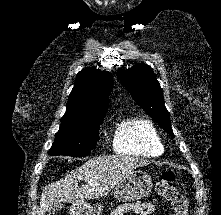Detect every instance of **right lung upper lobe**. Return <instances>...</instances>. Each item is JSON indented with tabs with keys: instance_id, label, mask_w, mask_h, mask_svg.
Wrapping results in <instances>:
<instances>
[{
	"instance_id": "1",
	"label": "right lung upper lobe",
	"mask_w": 221,
	"mask_h": 215,
	"mask_svg": "<svg viewBox=\"0 0 221 215\" xmlns=\"http://www.w3.org/2000/svg\"><path fill=\"white\" fill-rule=\"evenodd\" d=\"M112 87L110 72L91 67L80 71L68 97L65 114L104 117Z\"/></svg>"
}]
</instances>
